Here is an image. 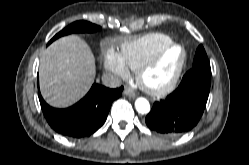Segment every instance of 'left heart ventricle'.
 <instances>
[{
  "label": "left heart ventricle",
  "mask_w": 249,
  "mask_h": 165,
  "mask_svg": "<svg viewBox=\"0 0 249 165\" xmlns=\"http://www.w3.org/2000/svg\"><path fill=\"white\" fill-rule=\"evenodd\" d=\"M180 56V51L179 50H174L172 51L165 59L164 63L162 66L159 68L155 69L148 75V81L151 83H156L159 81H162L166 79L170 73L171 70V64L178 59Z\"/></svg>",
  "instance_id": "b2bd125f"
}]
</instances>
